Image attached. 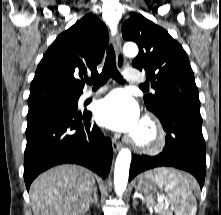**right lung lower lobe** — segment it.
<instances>
[{
    "label": "right lung lower lobe",
    "instance_id": "1",
    "mask_svg": "<svg viewBox=\"0 0 221 215\" xmlns=\"http://www.w3.org/2000/svg\"><path fill=\"white\" fill-rule=\"evenodd\" d=\"M91 112L55 111L28 121L24 154L27 190L43 171L59 164L83 165L105 178L111 167V140L89 122Z\"/></svg>",
    "mask_w": 221,
    "mask_h": 215
}]
</instances>
